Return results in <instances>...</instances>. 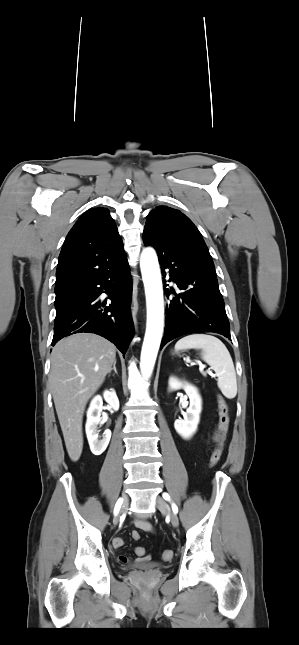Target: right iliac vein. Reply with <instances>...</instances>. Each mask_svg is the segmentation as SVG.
I'll return each instance as SVG.
<instances>
[{"label":"right iliac vein","mask_w":299,"mask_h":645,"mask_svg":"<svg viewBox=\"0 0 299 645\" xmlns=\"http://www.w3.org/2000/svg\"><path fill=\"white\" fill-rule=\"evenodd\" d=\"M122 501H123V502H122V503H123V506H122L121 513L123 512V509L128 505V496H127L125 493H123V495H122ZM118 520H119V516L117 515V516L115 517L114 521H115V522H118Z\"/></svg>","instance_id":"1"}]
</instances>
